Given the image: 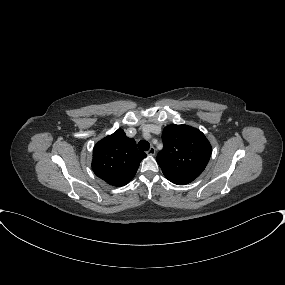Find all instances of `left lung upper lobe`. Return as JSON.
<instances>
[{"instance_id":"1","label":"left lung upper lobe","mask_w":285,"mask_h":285,"mask_svg":"<svg viewBox=\"0 0 285 285\" xmlns=\"http://www.w3.org/2000/svg\"><path fill=\"white\" fill-rule=\"evenodd\" d=\"M157 162L165 176L196 179L209 162L212 148L205 135L187 125H169L162 133Z\"/></svg>"}]
</instances>
